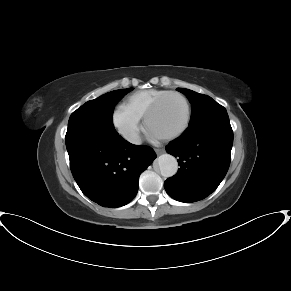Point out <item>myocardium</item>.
<instances>
[{"instance_id":"1","label":"myocardium","mask_w":291,"mask_h":291,"mask_svg":"<svg viewBox=\"0 0 291 291\" xmlns=\"http://www.w3.org/2000/svg\"><path fill=\"white\" fill-rule=\"evenodd\" d=\"M170 96L180 97L184 101L185 106H186V120H185L184 124L174 133L169 134L167 136L158 137L162 141H170V140L176 139V138L180 137L181 135H183L187 131V129L189 128V126L191 124V120H192V108H191V104H190L189 100L187 99V97L180 92L169 91L166 94L159 97L154 102V104L149 108V110L146 112V114L144 116V123H145L146 129L149 130V123H150L152 116L159 109V107L162 105V103Z\"/></svg>"}]
</instances>
